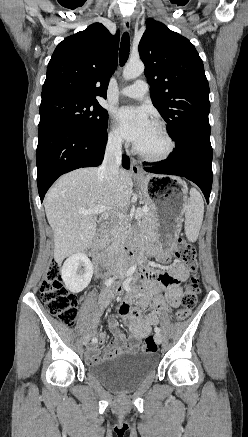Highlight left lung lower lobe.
<instances>
[{
    "label": "left lung lower lobe",
    "instance_id": "0a47b994",
    "mask_svg": "<svg viewBox=\"0 0 248 437\" xmlns=\"http://www.w3.org/2000/svg\"><path fill=\"white\" fill-rule=\"evenodd\" d=\"M212 154L210 125L200 124L189 128L175 141V151L162 164L145 167L144 170L186 177L200 187L209 203L213 179Z\"/></svg>",
    "mask_w": 248,
    "mask_h": 437
}]
</instances>
